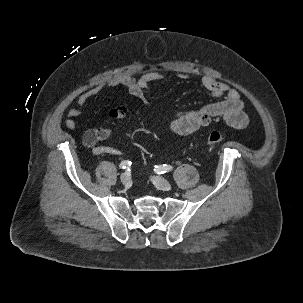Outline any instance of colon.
Listing matches in <instances>:
<instances>
[{
    "instance_id": "obj_1",
    "label": "colon",
    "mask_w": 303,
    "mask_h": 303,
    "mask_svg": "<svg viewBox=\"0 0 303 303\" xmlns=\"http://www.w3.org/2000/svg\"><path fill=\"white\" fill-rule=\"evenodd\" d=\"M128 109L124 106H118L109 111V117L111 119H121L126 116ZM225 139L224 135L219 132H211L206 138V145L210 148L223 142Z\"/></svg>"
}]
</instances>
